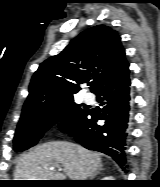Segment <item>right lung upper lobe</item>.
<instances>
[{"label":"right lung upper lobe","mask_w":160,"mask_h":187,"mask_svg":"<svg viewBox=\"0 0 160 187\" xmlns=\"http://www.w3.org/2000/svg\"><path fill=\"white\" fill-rule=\"evenodd\" d=\"M121 38L105 25L94 26L73 39L34 73L22 113L40 111L73 99L78 84L91 83L94 93L103 82L128 65ZM92 80V82H89Z\"/></svg>","instance_id":"obj_1"}]
</instances>
